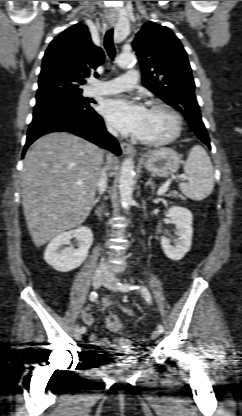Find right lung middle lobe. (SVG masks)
I'll return each mask as SVG.
<instances>
[{
    "label": "right lung middle lobe",
    "mask_w": 242,
    "mask_h": 416,
    "mask_svg": "<svg viewBox=\"0 0 242 416\" xmlns=\"http://www.w3.org/2000/svg\"><path fill=\"white\" fill-rule=\"evenodd\" d=\"M82 89L79 88H60L51 94L45 95V96H37L36 102L40 103L43 101H49V100H61L73 104H86L88 99H85L81 95Z\"/></svg>",
    "instance_id": "1"
}]
</instances>
